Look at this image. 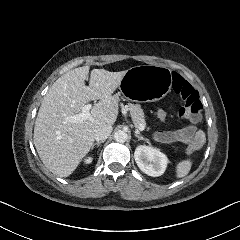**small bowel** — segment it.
Returning a JSON list of instances; mask_svg holds the SVG:
<instances>
[{"mask_svg":"<svg viewBox=\"0 0 240 240\" xmlns=\"http://www.w3.org/2000/svg\"><path fill=\"white\" fill-rule=\"evenodd\" d=\"M198 124V123H197ZM197 124H188L178 130H161L156 132L155 139L161 143H188L194 133L199 130Z\"/></svg>","mask_w":240,"mask_h":240,"instance_id":"obj_1","label":"small bowel"}]
</instances>
